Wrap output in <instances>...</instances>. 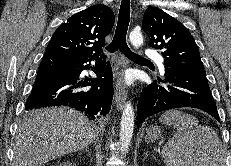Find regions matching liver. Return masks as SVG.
Returning a JSON list of instances; mask_svg holds the SVG:
<instances>
[{"mask_svg":"<svg viewBox=\"0 0 231 166\" xmlns=\"http://www.w3.org/2000/svg\"><path fill=\"white\" fill-rule=\"evenodd\" d=\"M96 137L88 118L68 107L32 112L19 126L14 144L15 166H42L83 150Z\"/></svg>","mask_w":231,"mask_h":166,"instance_id":"liver-1","label":"liver"}]
</instances>
